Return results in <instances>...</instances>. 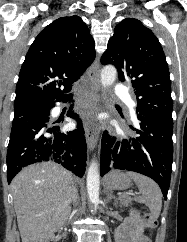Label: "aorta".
Returning a JSON list of instances; mask_svg holds the SVG:
<instances>
[{
    "instance_id": "obj_1",
    "label": "aorta",
    "mask_w": 187,
    "mask_h": 242,
    "mask_svg": "<svg viewBox=\"0 0 187 242\" xmlns=\"http://www.w3.org/2000/svg\"><path fill=\"white\" fill-rule=\"evenodd\" d=\"M116 76L117 70L114 66H105L101 71L102 87L107 88L111 86L116 80ZM99 187L100 174L98 169V163L92 160L87 173V191L89 200L95 205V207L99 202Z\"/></svg>"
}]
</instances>
